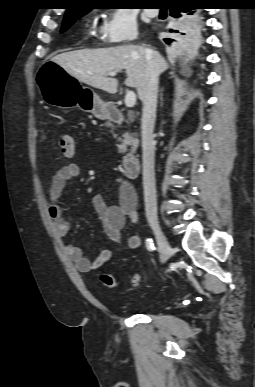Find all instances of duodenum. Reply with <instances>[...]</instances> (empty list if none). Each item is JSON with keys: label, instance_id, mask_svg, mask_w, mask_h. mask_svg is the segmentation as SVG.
<instances>
[{"label": "duodenum", "instance_id": "410a0bca", "mask_svg": "<svg viewBox=\"0 0 255 387\" xmlns=\"http://www.w3.org/2000/svg\"><path fill=\"white\" fill-rule=\"evenodd\" d=\"M106 114L108 118L114 121H125L124 115L117 108L109 107L106 111ZM122 167L127 177L136 178L139 175L141 169L139 155L137 153H130L126 155L122 161Z\"/></svg>", "mask_w": 255, "mask_h": 387}]
</instances>
